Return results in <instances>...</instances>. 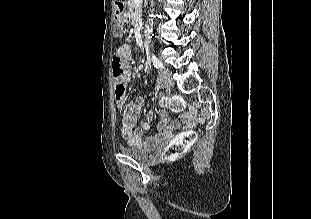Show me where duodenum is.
<instances>
[{"instance_id": "1", "label": "duodenum", "mask_w": 311, "mask_h": 219, "mask_svg": "<svg viewBox=\"0 0 311 219\" xmlns=\"http://www.w3.org/2000/svg\"><path fill=\"white\" fill-rule=\"evenodd\" d=\"M118 12L119 13H124L125 11H126V6L124 5V4H119V6H118ZM147 28H148V31H149V33H148V37L150 36V34L152 33V31H153V25H152V23H149L148 25H147Z\"/></svg>"}]
</instances>
